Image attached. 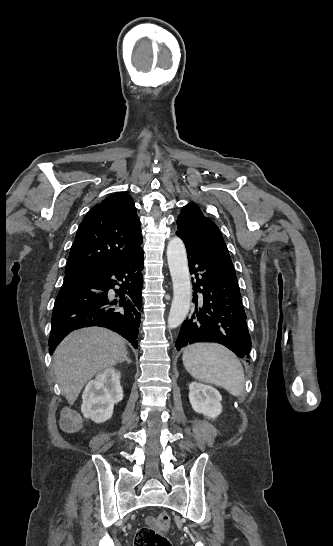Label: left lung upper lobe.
Masks as SVG:
<instances>
[{
	"mask_svg": "<svg viewBox=\"0 0 333 546\" xmlns=\"http://www.w3.org/2000/svg\"><path fill=\"white\" fill-rule=\"evenodd\" d=\"M177 229L180 234L202 250L231 260L219 228L203 215L196 204L190 203L184 206L177 218Z\"/></svg>",
	"mask_w": 333,
	"mask_h": 546,
	"instance_id": "5c2ea615",
	"label": "left lung upper lobe"
}]
</instances>
